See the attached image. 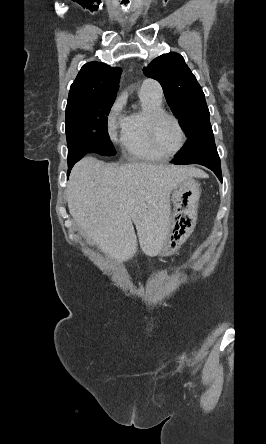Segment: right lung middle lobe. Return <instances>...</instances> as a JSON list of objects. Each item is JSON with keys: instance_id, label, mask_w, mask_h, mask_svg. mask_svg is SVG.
<instances>
[{"instance_id": "dd1d6c3e", "label": "right lung middle lobe", "mask_w": 266, "mask_h": 444, "mask_svg": "<svg viewBox=\"0 0 266 444\" xmlns=\"http://www.w3.org/2000/svg\"><path fill=\"white\" fill-rule=\"evenodd\" d=\"M115 96H105L66 106V137L68 163L77 162L86 154H115L107 132V116Z\"/></svg>"}]
</instances>
